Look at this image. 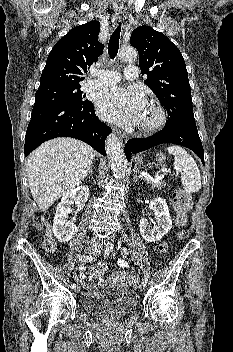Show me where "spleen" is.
<instances>
[{
    "label": "spleen",
    "mask_w": 233,
    "mask_h": 352,
    "mask_svg": "<svg viewBox=\"0 0 233 352\" xmlns=\"http://www.w3.org/2000/svg\"><path fill=\"white\" fill-rule=\"evenodd\" d=\"M166 149L174 155L173 167L181 173L184 190L187 193L198 192L201 189V175L193 157L177 145L169 146Z\"/></svg>",
    "instance_id": "1"
}]
</instances>
